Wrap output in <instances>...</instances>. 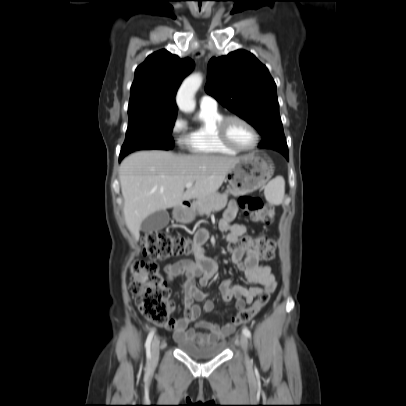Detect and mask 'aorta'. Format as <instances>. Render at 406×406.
Listing matches in <instances>:
<instances>
[{"instance_id": "aorta-1", "label": "aorta", "mask_w": 406, "mask_h": 406, "mask_svg": "<svg viewBox=\"0 0 406 406\" xmlns=\"http://www.w3.org/2000/svg\"><path fill=\"white\" fill-rule=\"evenodd\" d=\"M202 84V76L199 73L189 75L181 84L177 96L176 103L179 109L185 113L194 111L195 94Z\"/></svg>"}]
</instances>
